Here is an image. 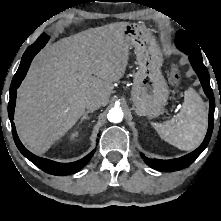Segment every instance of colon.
Segmentation results:
<instances>
[{"label":"colon","instance_id":"colon-1","mask_svg":"<svg viewBox=\"0 0 221 221\" xmlns=\"http://www.w3.org/2000/svg\"><path fill=\"white\" fill-rule=\"evenodd\" d=\"M170 82L173 85H178L182 79V74L178 66L173 65L169 73Z\"/></svg>","mask_w":221,"mask_h":221}]
</instances>
